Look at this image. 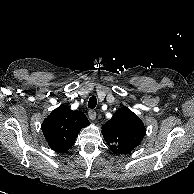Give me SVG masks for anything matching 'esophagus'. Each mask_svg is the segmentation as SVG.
<instances>
[{
    "instance_id": "34e87169",
    "label": "esophagus",
    "mask_w": 194,
    "mask_h": 194,
    "mask_svg": "<svg viewBox=\"0 0 194 194\" xmlns=\"http://www.w3.org/2000/svg\"><path fill=\"white\" fill-rule=\"evenodd\" d=\"M88 116L90 120H95L96 119V112L94 110H89Z\"/></svg>"
}]
</instances>
